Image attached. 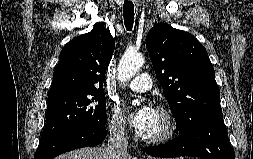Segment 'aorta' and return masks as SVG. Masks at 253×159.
<instances>
[{"label":"aorta","mask_w":253,"mask_h":159,"mask_svg":"<svg viewBox=\"0 0 253 159\" xmlns=\"http://www.w3.org/2000/svg\"><path fill=\"white\" fill-rule=\"evenodd\" d=\"M144 57L141 53L127 51L122 56L119 65L117 77L121 84H125L129 81L136 72L143 66ZM138 100L133 101V104H137Z\"/></svg>","instance_id":"1"}]
</instances>
